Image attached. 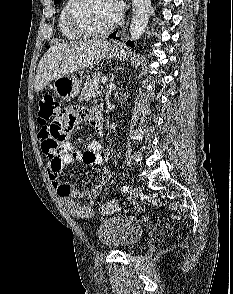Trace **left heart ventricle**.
Here are the masks:
<instances>
[{
	"instance_id": "b2bd125f",
	"label": "left heart ventricle",
	"mask_w": 233,
	"mask_h": 294,
	"mask_svg": "<svg viewBox=\"0 0 233 294\" xmlns=\"http://www.w3.org/2000/svg\"><path fill=\"white\" fill-rule=\"evenodd\" d=\"M117 16L108 0H88L80 13L82 23L92 31L106 28Z\"/></svg>"
}]
</instances>
